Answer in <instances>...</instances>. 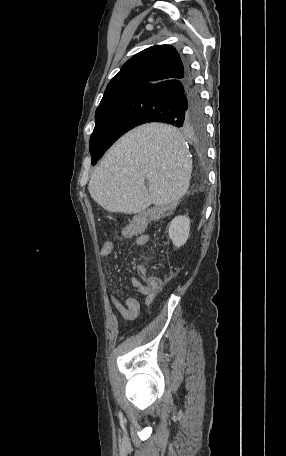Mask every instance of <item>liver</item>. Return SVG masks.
<instances>
[{
  "instance_id": "obj_1",
  "label": "liver",
  "mask_w": 286,
  "mask_h": 456,
  "mask_svg": "<svg viewBox=\"0 0 286 456\" xmlns=\"http://www.w3.org/2000/svg\"><path fill=\"white\" fill-rule=\"evenodd\" d=\"M191 172L192 160L181 132L149 123L129 131L108 150L88 190L105 210L136 214L151 204L176 203L189 188Z\"/></svg>"
}]
</instances>
